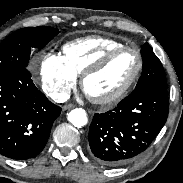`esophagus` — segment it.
Listing matches in <instances>:
<instances>
[{
  "label": "esophagus",
  "instance_id": "esophagus-1",
  "mask_svg": "<svg viewBox=\"0 0 183 183\" xmlns=\"http://www.w3.org/2000/svg\"><path fill=\"white\" fill-rule=\"evenodd\" d=\"M75 106L73 104H67V105H64L62 107V110L65 111V110H68V109H71V108H74Z\"/></svg>",
  "mask_w": 183,
  "mask_h": 183
}]
</instances>
